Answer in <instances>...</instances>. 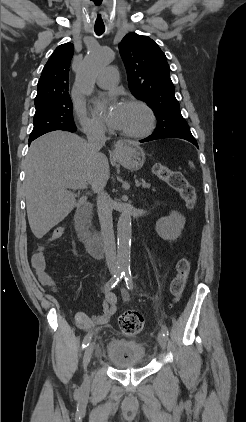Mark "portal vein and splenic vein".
Here are the masks:
<instances>
[{"instance_id": "obj_1", "label": "portal vein and splenic vein", "mask_w": 246, "mask_h": 422, "mask_svg": "<svg viewBox=\"0 0 246 422\" xmlns=\"http://www.w3.org/2000/svg\"><path fill=\"white\" fill-rule=\"evenodd\" d=\"M141 184H142L141 182H136V187H139ZM68 186L73 188V189H86L87 188L86 183H71Z\"/></svg>"}]
</instances>
